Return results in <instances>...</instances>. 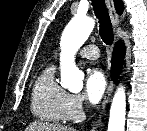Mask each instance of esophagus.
Returning a JSON list of instances; mask_svg holds the SVG:
<instances>
[{
	"label": "esophagus",
	"instance_id": "esophagus-1",
	"mask_svg": "<svg viewBox=\"0 0 147 131\" xmlns=\"http://www.w3.org/2000/svg\"><path fill=\"white\" fill-rule=\"evenodd\" d=\"M105 1H106V4H107L109 13H110L112 24L116 28L120 24V17L116 12L114 2H113V0H105ZM113 86H114L113 82L110 81L109 84H108L106 93L104 95V98H103L99 119L97 120V122L95 124H93V126L91 128V131H97V128L100 125L101 117H102V114H103V112H104V110L106 108V105L108 104V102L110 100V97H111V94H112V91H113Z\"/></svg>",
	"mask_w": 147,
	"mask_h": 131
}]
</instances>
